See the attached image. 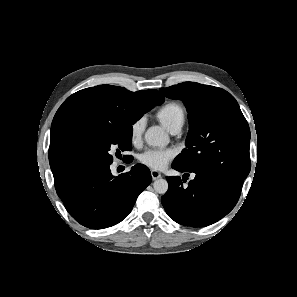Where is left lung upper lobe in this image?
Wrapping results in <instances>:
<instances>
[{"label": "left lung upper lobe", "instance_id": "1", "mask_svg": "<svg viewBox=\"0 0 297 297\" xmlns=\"http://www.w3.org/2000/svg\"><path fill=\"white\" fill-rule=\"evenodd\" d=\"M188 112L186 148L173 163L187 172L218 176L242 188L249 174L250 130L235 98L224 89L195 82L161 88Z\"/></svg>", "mask_w": 297, "mask_h": 297}]
</instances>
